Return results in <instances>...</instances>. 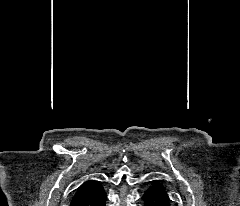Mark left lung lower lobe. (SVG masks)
<instances>
[{"instance_id":"0a47b994","label":"left lung lower lobe","mask_w":240,"mask_h":206,"mask_svg":"<svg viewBox=\"0 0 240 206\" xmlns=\"http://www.w3.org/2000/svg\"><path fill=\"white\" fill-rule=\"evenodd\" d=\"M144 206H170L171 200L165 186L160 180H154L145 191L143 197Z\"/></svg>"}]
</instances>
